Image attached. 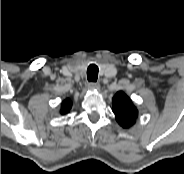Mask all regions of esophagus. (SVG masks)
<instances>
[{"label": "esophagus", "instance_id": "1", "mask_svg": "<svg viewBox=\"0 0 184 174\" xmlns=\"http://www.w3.org/2000/svg\"><path fill=\"white\" fill-rule=\"evenodd\" d=\"M89 89L91 90H98L100 88V84L97 82H90L88 84Z\"/></svg>", "mask_w": 184, "mask_h": 174}]
</instances>
